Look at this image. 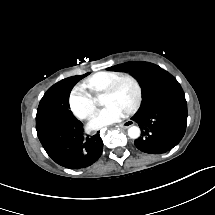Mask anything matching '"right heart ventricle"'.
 <instances>
[{"mask_svg": "<svg viewBox=\"0 0 215 215\" xmlns=\"http://www.w3.org/2000/svg\"><path fill=\"white\" fill-rule=\"evenodd\" d=\"M119 75V73H103L102 75H98L95 78V85L98 88H105L108 85V76H116Z\"/></svg>", "mask_w": 215, "mask_h": 215, "instance_id": "1", "label": "right heart ventricle"}]
</instances>
